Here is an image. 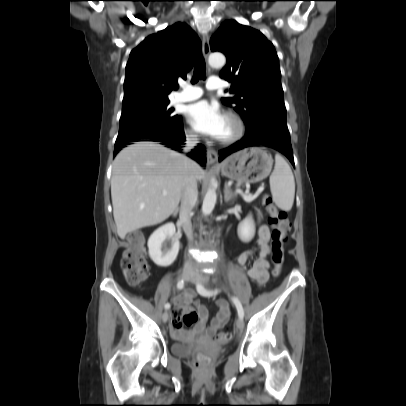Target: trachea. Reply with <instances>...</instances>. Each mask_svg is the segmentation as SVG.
<instances>
[{"label":"trachea","mask_w":406,"mask_h":406,"mask_svg":"<svg viewBox=\"0 0 406 406\" xmlns=\"http://www.w3.org/2000/svg\"><path fill=\"white\" fill-rule=\"evenodd\" d=\"M206 78V64L203 56H198L195 62V69L192 77V83H196L199 79Z\"/></svg>","instance_id":"3493384b"}]
</instances>
